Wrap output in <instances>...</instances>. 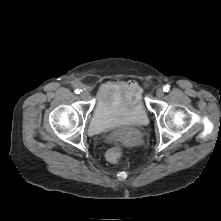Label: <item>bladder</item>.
Here are the masks:
<instances>
[{"label": "bladder", "mask_w": 221, "mask_h": 221, "mask_svg": "<svg viewBox=\"0 0 221 221\" xmlns=\"http://www.w3.org/2000/svg\"><path fill=\"white\" fill-rule=\"evenodd\" d=\"M147 121V111L140 98L127 105L115 94L102 90L93 109L89 129L93 134H102L122 125L142 126Z\"/></svg>", "instance_id": "bladder-1"}]
</instances>
